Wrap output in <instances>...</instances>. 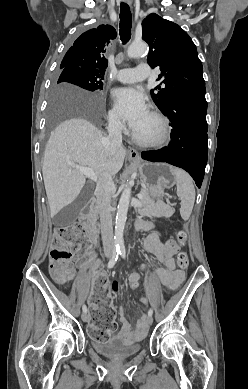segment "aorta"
Returning a JSON list of instances; mask_svg holds the SVG:
<instances>
[{
	"label": "aorta",
	"mask_w": 248,
	"mask_h": 389,
	"mask_svg": "<svg viewBox=\"0 0 248 389\" xmlns=\"http://www.w3.org/2000/svg\"><path fill=\"white\" fill-rule=\"evenodd\" d=\"M148 50V46L144 42L132 43L127 49V55L129 58H137L145 54ZM131 181L124 185V190L121 194L118 210L115 220V235L114 243L118 248L124 247L123 232L127 219V212L129 202L131 198Z\"/></svg>",
	"instance_id": "1"
}]
</instances>
